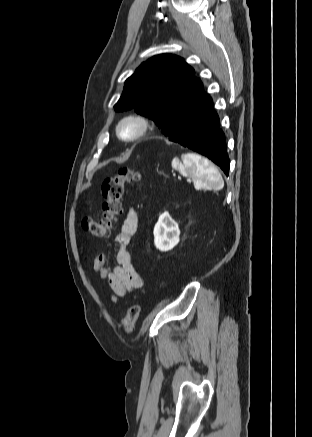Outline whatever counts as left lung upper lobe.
I'll return each instance as SVG.
<instances>
[{
  "label": "left lung upper lobe",
  "mask_w": 312,
  "mask_h": 437,
  "mask_svg": "<svg viewBox=\"0 0 312 437\" xmlns=\"http://www.w3.org/2000/svg\"><path fill=\"white\" fill-rule=\"evenodd\" d=\"M209 95L183 58L171 54L143 62L124 86L115 111L135 109L152 120L169 139L200 111Z\"/></svg>",
  "instance_id": "5c2ea615"
}]
</instances>
